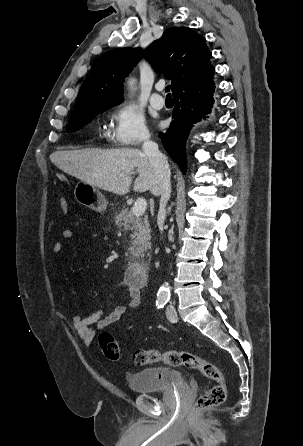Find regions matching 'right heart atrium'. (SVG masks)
<instances>
[{"label": "right heart atrium", "mask_w": 303, "mask_h": 446, "mask_svg": "<svg viewBox=\"0 0 303 446\" xmlns=\"http://www.w3.org/2000/svg\"><path fill=\"white\" fill-rule=\"evenodd\" d=\"M144 114L133 104H119L111 117L109 140L118 146H133L149 138Z\"/></svg>", "instance_id": "d8ad5b80"}]
</instances>
